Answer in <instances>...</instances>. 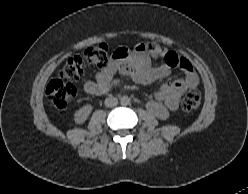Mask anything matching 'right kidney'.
Returning a JSON list of instances; mask_svg holds the SVG:
<instances>
[{"label":"right kidney","instance_id":"ca27d5eb","mask_svg":"<svg viewBox=\"0 0 248 194\" xmlns=\"http://www.w3.org/2000/svg\"><path fill=\"white\" fill-rule=\"evenodd\" d=\"M93 106L91 104H86L74 113V121L76 124L84 123L89 117Z\"/></svg>","mask_w":248,"mask_h":194}]
</instances>
